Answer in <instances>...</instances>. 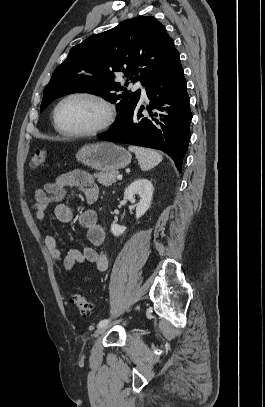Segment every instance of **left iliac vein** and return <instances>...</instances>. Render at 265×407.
I'll use <instances>...</instances> for the list:
<instances>
[{"label":"left iliac vein","mask_w":265,"mask_h":407,"mask_svg":"<svg viewBox=\"0 0 265 407\" xmlns=\"http://www.w3.org/2000/svg\"><path fill=\"white\" fill-rule=\"evenodd\" d=\"M109 325H104L99 327L96 331H95V337H98L99 335L105 333L108 329H109Z\"/></svg>","instance_id":"1"}]
</instances>
